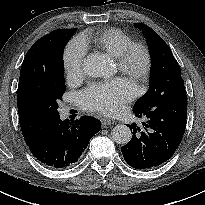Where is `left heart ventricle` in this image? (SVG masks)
<instances>
[{"label":"left heart ventricle","instance_id":"b2bd125f","mask_svg":"<svg viewBox=\"0 0 205 205\" xmlns=\"http://www.w3.org/2000/svg\"><path fill=\"white\" fill-rule=\"evenodd\" d=\"M140 64H141V57H140V55H137L136 58H135V65L137 67H139Z\"/></svg>","mask_w":205,"mask_h":205}]
</instances>
